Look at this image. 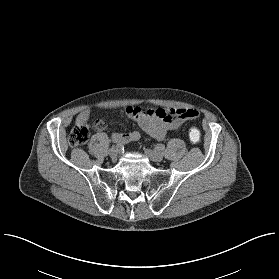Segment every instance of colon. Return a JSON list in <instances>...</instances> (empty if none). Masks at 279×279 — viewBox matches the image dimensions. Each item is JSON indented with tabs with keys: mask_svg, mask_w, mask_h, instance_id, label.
<instances>
[{
	"mask_svg": "<svg viewBox=\"0 0 279 279\" xmlns=\"http://www.w3.org/2000/svg\"><path fill=\"white\" fill-rule=\"evenodd\" d=\"M89 138V129L87 125H75L69 135L71 146H80L87 142ZM189 139L192 144H198L201 139V132L196 122L193 121L189 129Z\"/></svg>",
	"mask_w": 279,
	"mask_h": 279,
	"instance_id": "colon-1",
	"label": "colon"
}]
</instances>
